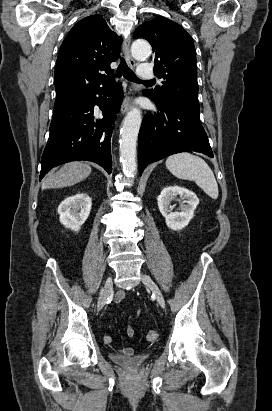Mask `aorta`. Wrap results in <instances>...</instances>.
I'll list each match as a JSON object with an SVG mask.
<instances>
[{
    "label": "aorta",
    "instance_id": "obj_1",
    "mask_svg": "<svg viewBox=\"0 0 272 411\" xmlns=\"http://www.w3.org/2000/svg\"><path fill=\"white\" fill-rule=\"evenodd\" d=\"M131 52L134 58H147L151 53L149 43L136 40L132 43ZM142 122L141 111L133 108L124 118L120 131V162L123 171L128 177H134L137 172V138Z\"/></svg>",
    "mask_w": 272,
    "mask_h": 411
}]
</instances>
